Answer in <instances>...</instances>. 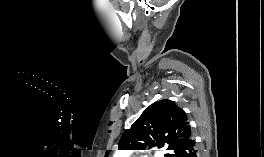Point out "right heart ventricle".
<instances>
[{
	"instance_id": "right-heart-ventricle-1",
	"label": "right heart ventricle",
	"mask_w": 264,
	"mask_h": 157,
	"mask_svg": "<svg viewBox=\"0 0 264 157\" xmlns=\"http://www.w3.org/2000/svg\"><path fill=\"white\" fill-rule=\"evenodd\" d=\"M114 157H125V156L119 153V154H116Z\"/></svg>"
}]
</instances>
